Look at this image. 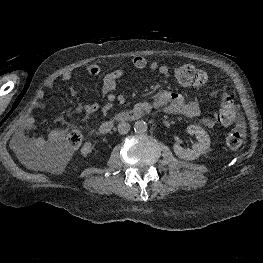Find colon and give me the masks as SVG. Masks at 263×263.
Segmentation results:
<instances>
[{"label": "colon", "instance_id": "colon-1", "mask_svg": "<svg viewBox=\"0 0 263 263\" xmlns=\"http://www.w3.org/2000/svg\"><path fill=\"white\" fill-rule=\"evenodd\" d=\"M177 82L185 87H202L208 81L207 73L188 63H180L174 71ZM236 105L231 97L223 96L220 109L217 113V122L223 126L230 125L236 117ZM244 135L241 131L233 130L226 136L225 142L230 149H238L243 144ZM69 148H78L82 143V134L77 129H72L66 137ZM67 156V148L58 147L51 151L50 157L56 164H63Z\"/></svg>", "mask_w": 263, "mask_h": 263}]
</instances>
